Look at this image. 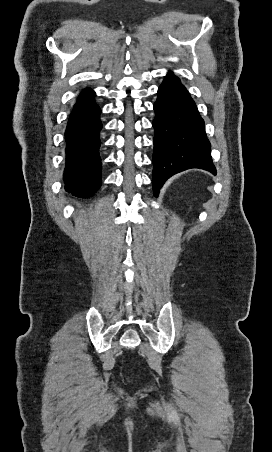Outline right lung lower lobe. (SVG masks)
Returning <instances> with one entry per match:
<instances>
[{"mask_svg":"<svg viewBox=\"0 0 272 452\" xmlns=\"http://www.w3.org/2000/svg\"><path fill=\"white\" fill-rule=\"evenodd\" d=\"M94 97L95 92L90 88L80 93L65 132V189L80 198L91 197L101 185V110Z\"/></svg>","mask_w":272,"mask_h":452,"instance_id":"98d812e1","label":"right lung lower lobe"}]
</instances>
